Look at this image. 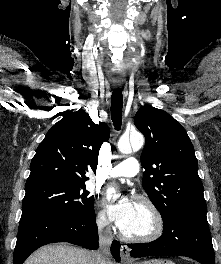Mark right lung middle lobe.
<instances>
[{
    "instance_id": "1",
    "label": "right lung middle lobe",
    "mask_w": 221,
    "mask_h": 264,
    "mask_svg": "<svg viewBox=\"0 0 221 264\" xmlns=\"http://www.w3.org/2000/svg\"><path fill=\"white\" fill-rule=\"evenodd\" d=\"M22 217H81L94 212V197L85 185L50 183L25 190Z\"/></svg>"
}]
</instances>
